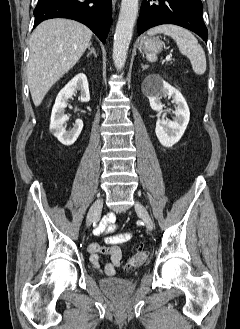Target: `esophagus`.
<instances>
[{"mask_svg": "<svg viewBox=\"0 0 240 329\" xmlns=\"http://www.w3.org/2000/svg\"><path fill=\"white\" fill-rule=\"evenodd\" d=\"M116 0H112L113 7L115 6Z\"/></svg>", "mask_w": 240, "mask_h": 329, "instance_id": "esophagus-1", "label": "esophagus"}]
</instances>
